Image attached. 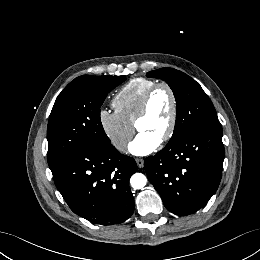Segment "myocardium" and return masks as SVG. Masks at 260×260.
<instances>
[{"instance_id":"1","label":"myocardium","mask_w":260,"mask_h":260,"mask_svg":"<svg viewBox=\"0 0 260 260\" xmlns=\"http://www.w3.org/2000/svg\"><path fill=\"white\" fill-rule=\"evenodd\" d=\"M161 89H165L169 93L171 102H172L170 122H169V125H168V128H167L165 134L163 135V137L160 140L161 143H164V142L169 141L172 138V136L174 135L176 125H177V119H178L177 96H176L174 89L169 84H167L165 82L156 83L155 85H153L151 88L148 89V91L146 92V94L144 95V97L141 101L139 110L135 117L134 125L137 128L138 122L148 114L151 99L153 98L155 93Z\"/></svg>"}]
</instances>
